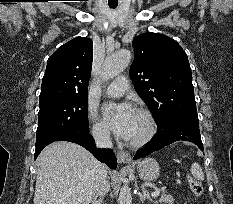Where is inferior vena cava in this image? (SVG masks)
I'll list each match as a JSON object with an SVG mask.
<instances>
[{"label":"inferior vena cava","instance_id":"1","mask_svg":"<svg viewBox=\"0 0 233 204\" xmlns=\"http://www.w3.org/2000/svg\"><path fill=\"white\" fill-rule=\"evenodd\" d=\"M94 139L97 148H112V141L110 138V133L108 131H97L94 133ZM110 189L109 182L104 180L100 185L97 196H104Z\"/></svg>","mask_w":233,"mask_h":204}]
</instances>
